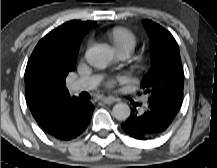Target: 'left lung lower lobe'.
Returning <instances> with one entry per match:
<instances>
[{
	"label": "left lung lower lobe",
	"mask_w": 217,
	"mask_h": 168,
	"mask_svg": "<svg viewBox=\"0 0 217 168\" xmlns=\"http://www.w3.org/2000/svg\"><path fill=\"white\" fill-rule=\"evenodd\" d=\"M175 113L171 108L150 101L144 114L128 119L122 128L139 139L154 137L170 125Z\"/></svg>",
	"instance_id": "1"
}]
</instances>
